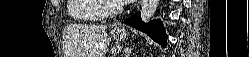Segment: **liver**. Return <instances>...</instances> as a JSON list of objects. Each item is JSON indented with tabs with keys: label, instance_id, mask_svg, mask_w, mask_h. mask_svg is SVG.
I'll return each mask as SVG.
<instances>
[{
	"label": "liver",
	"instance_id": "1",
	"mask_svg": "<svg viewBox=\"0 0 249 57\" xmlns=\"http://www.w3.org/2000/svg\"><path fill=\"white\" fill-rule=\"evenodd\" d=\"M106 25H70L65 28L71 57H105L109 38Z\"/></svg>",
	"mask_w": 249,
	"mask_h": 57
}]
</instances>
